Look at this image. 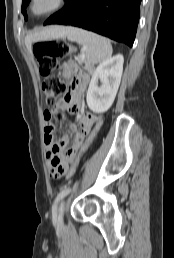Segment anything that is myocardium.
I'll list each match as a JSON object with an SVG mask.
<instances>
[{
	"label": "myocardium",
	"mask_w": 174,
	"mask_h": 258,
	"mask_svg": "<svg viewBox=\"0 0 174 258\" xmlns=\"http://www.w3.org/2000/svg\"><path fill=\"white\" fill-rule=\"evenodd\" d=\"M41 0H30L28 3V11L34 17H44L54 14L61 10L66 4V0H52L51 4L41 10H37L36 6Z\"/></svg>",
	"instance_id": "f54148a6"
}]
</instances>
